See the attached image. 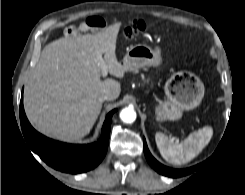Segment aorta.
<instances>
[{"label":"aorta","instance_id":"1","mask_svg":"<svg viewBox=\"0 0 245 195\" xmlns=\"http://www.w3.org/2000/svg\"><path fill=\"white\" fill-rule=\"evenodd\" d=\"M120 118L124 123H133L136 120V112L133 108L126 107L121 110Z\"/></svg>","mask_w":245,"mask_h":195}]
</instances>
